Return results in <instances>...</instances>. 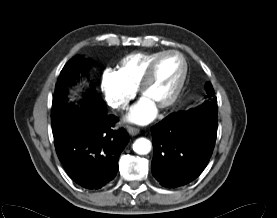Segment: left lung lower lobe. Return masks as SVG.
Segmentation results:
<instances>
[{
	"mask_svg": "<svg viewBox=\"0 0 277 218\" xmlns=\"http://www.w3.org/2000/svg\"><path fill=\"white\" fill-rule=\"evenodd\" d=\"M217 105L172 113L151 128L152 174L169 188L197 178L207 166L217 135Z\"/></svg>",
	"mask_w": 277,
	"mask_h": 218,
	"instance_id": "obj_1",
	"label": "left lung lower lobe"
}]
</instances>
